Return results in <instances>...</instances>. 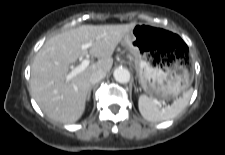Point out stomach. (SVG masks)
Masks as SVG:
<instances>
[{
	"label": "stomach",
	"mask_w": 225,
	"mask_h": 155,
	"mask_svg": "<svg viewBox=\"0 0 225 155\" xmlns=\"http://www.w3.org/2000/svg\"><path fill=\"white\" fill-rule=\"evenodd\" d=\"M124 40L135 58L140 84L148 95L171 99L190 86L192 77L183 59L176 57V36L172 32L136 24Z\"/></svg>",
	"instance_id": "stomach-1"
}]
</instances>
